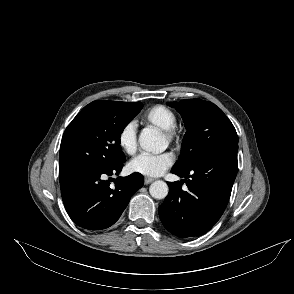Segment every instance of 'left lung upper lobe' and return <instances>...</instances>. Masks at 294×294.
Listing matches in <instances>:
<instances>
[{"mask_svg": "<svg viewBox=\"0 0 294 294\" xmlns=\"http://www.w3.org/2000/svg\"><path fill=\"white\" fill-rule=\"evenodd\" d=\"M167 104L181 114L187 130L172 169L187 171L216 149L238 144L233 124L215 104L197 98Z\"/></svg>", "mask_w": 294, "mask_h": 294, "instance_id": "5c2ea615", "label": "left lung upper lobe"}]
</instances>
